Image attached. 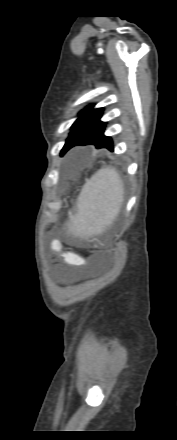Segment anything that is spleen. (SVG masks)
Masks as SVG:
<instances>
[{"mask_svg":"<svg viewBox=\"0 0 177 440\" xmlns=\"http://www.w3.org/2000/svg\"><path fill=\"white\" fill-rule=\"evenodd\" d=\"M123 195V183L114 168L98 171L80 193L78 213L70 217L68 232L86 236L102 233L117 217Z\"/></svg>","mask_w":177,"mask_h":440,"instance_id":"obj_1","label":"spleen"}]
</instances>
